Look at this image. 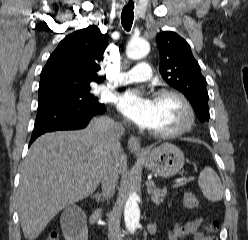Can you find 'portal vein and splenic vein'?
<instances>
[{"mask_svg":"<svg viewBox=\"0 0 248 240\" xmlns=\"http://www.w3.org/2000/svg\"><path fill=\"white\" fill-rule=\"evenodd\" d=\"M146 185H147V186H152V185H154V182H153V181H147V182H146Z\"/></svg>","mask_w":248,"mask_h":240,"instance_id":"obj_1","label":"portal vein and splenic vein"}]
</instances>
